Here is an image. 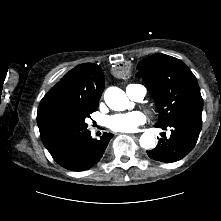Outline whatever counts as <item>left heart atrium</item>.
<instances>
[{"label":"left heart atrium","instance_id":"left-heart-atrium-1","mask_svg":"<svg viewBox=\"0 0 221 221\" xmlns=\"http://www.w3.org/2000/svg\"><path fill=\"white\" fill-rule=\"evenodd\" d=\"M146 122V116L140 111L119 113L107 119V126L117 132H134Z\"/></svg>","mask_w":221,"mask_h":221}]
</instances>
